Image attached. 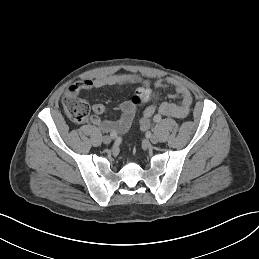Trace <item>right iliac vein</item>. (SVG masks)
<instances>
[{
  "label": "right iliac vein",
  "mask_w": 259,
  "mask_h": 259,
  "mask_svg": "<svg viewBox=\"0 0 259 259\" xmlns=\"http://www.w3.org/2000/svg\"><path fill=\"white\" fill-rule=\"evenodd\" d=\"M111 141H112V139H111L110 136L106 135V136L103 137V143L110 144Z\"/></svg>",
  "instance_id": "63e3f726"
}]
</instances>
